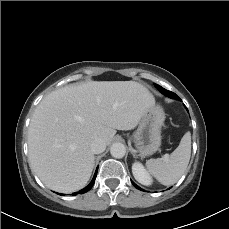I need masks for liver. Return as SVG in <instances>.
<instances>
[{
  "instance_id": "obj_1",
  "label": "liver",
  "mask_w": 229,
  "mask_h": 229,
  "mask_svg": "<svg viewBox=\"0 0 229 229\" xmlns=\"http://www.w3.org/2000/svg\"><path fill=\"white\" fill-rule=\"evenodd\" d=\"M155 98L135 81H89L48 94L28 130L29 163L46 187L71 193L92 174L96 138L109 144L116 130L134 129Z\"/></svg>"
}]
</instances>
